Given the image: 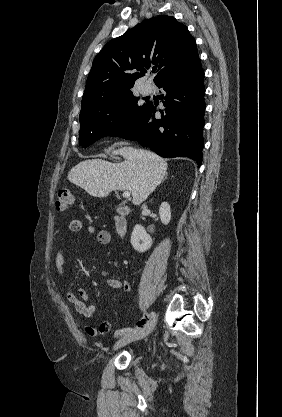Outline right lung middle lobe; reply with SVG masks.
<instances>
[{
  "instance_id": "dd1d6c3e",
  "label": "right lung middle lobe",
  "mask_w": 282,
  "mask_h": 417,
  "mask_svg": "<svg viewBox=\"0 0 282 417\" xmlns=\"http://www.w3.org/2000/svg\"><path fill=\"white\" fill-rule=\"evenodd\" d=\"M130 90L98 94L82 100L79 145L86 148L105 136L131 129L146 104H138Z\"/></svg>"
}]
</instances>
